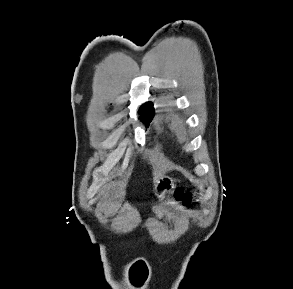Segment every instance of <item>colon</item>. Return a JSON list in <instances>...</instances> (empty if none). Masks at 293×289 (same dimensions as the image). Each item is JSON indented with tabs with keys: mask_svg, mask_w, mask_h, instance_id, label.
<instances>
[{
	"mask_svg": "<svg viewBox=\"0 0 293 289\" xmlns=\"http://www.w3.org/2000/svg\"><path fill=\"white\" fill-rule=\"evenodd\" d=\"M174 197L177 203L182 207H188L193 201L191 193L184 188H177L174 192Z\"/></svg>",
	"mask_w": 293,
	"mask_h": 289,
	"instance_id": "5ec220e1",
	"label": "colon"
}]
</instances>
